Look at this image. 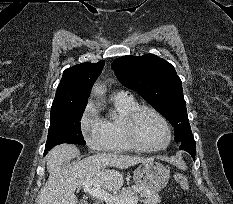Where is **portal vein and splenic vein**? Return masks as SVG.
<instances>
[{
    "mask_svg": "<svg viewBox=\"0 0 233 204\" xmlns=\"http://www.w3.org/2000/svg\"><path fill=\"white\" fill-rule=\"evenodd\" d=\"M95 179H87L83 183V188L86 193L91 195L92 197H95L99 200L105 201L107 204H137L138 198L132 197V198H121L114 196L107 191L100 189L98 187H93Z\"/></svg>",
    "mask_w": 233,
    "mask_h": 204,
    "instance_id": "18ae733b",
    "label": "portal vein and splenic vein"
}]
</instances>
